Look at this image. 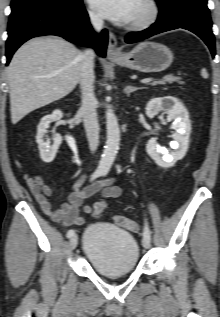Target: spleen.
Masks as SVG:
<instances>
[{
  "mask_svg": "<svg viewBox=\"0 0 220 317\" xmlns=\"http://www.w3.org/2000/svg\"><path fill=\"white\" fill-rule=\"evenodd\" d=\"M202 76H203V77H207V73H206V70H205V69H202Z\"/></svg>",
  "mask_w": 220,
  "mask_h": 317,
  "instance_id": "spleen-1",
  "label": "spleen"
}]
</instances>
